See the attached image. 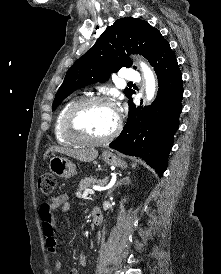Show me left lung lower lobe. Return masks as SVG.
<instances>
[{
  "mask_svg": "<svg viewBox=\"0 0 221 274\" xmlns=\"http://www.w3.org/2000/svg\"><path fill=\"white\" fill-rule=\"evenodd\" d=\"M149 62L158 76L157 97L150 106L144 108L136 107L132 97L129 98L127 123L109 147L141 157L162 176L182 110V74L168 42Z\"/></svg>",
  "mask_w": 221,
  "mask_h": 274,
  "instance_id": "obj_1",
  "label": "left lung lower lobe"
}]
</instances>
